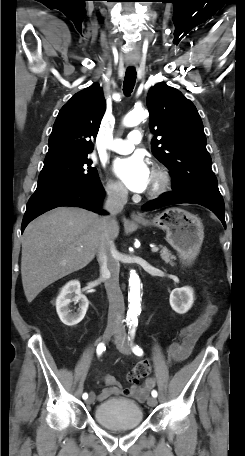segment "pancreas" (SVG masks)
I'll use <instances>...</instances> for the list:
<instances>
[{"label": "pancreas", "instance_id": "cf45deb5", "mask_svg": "<svg viewBox=\"0 0 245 456\" xmlns=\"http://www.w3.org/2000/svg\"><path fill=\"white\" fill-rule=\"evenodd\" d=\"M161 248L160 256L162 260L174 266L173 260H175V256L171 254L167 247L161 246Z\"/></svg>", "mask_w": 245, "mask_h": 456}]
</instances>
